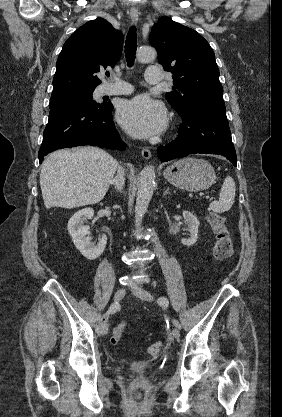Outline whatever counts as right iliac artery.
I'll return each instance as SVG.
<instances>
[{
	"instance_id": "obj_1",
	"label": "right iliac artery",
	"mask_w": 282,
	"mask_h": 417,
	"mask_svg": "<svg viewBox=\"0 0 282 417\" xmlns=\"http://www.w3.org/2000/svg\"><path fill=\"white\" fill-rule=\"evenodd\" d=\"M118 309H119V303L118 302H115V303L111 304V306L109 307V309L106 312V315L113 314ZM97 329H99V328H97Z\"/></svg>"
}]
</instances>
